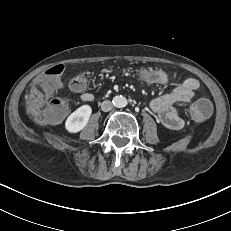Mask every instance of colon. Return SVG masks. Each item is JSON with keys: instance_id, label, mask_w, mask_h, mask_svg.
<instances>
[{"instance_id": "5ec220e1", "label": "colon", "mask_w": 231, "mask_h": 231, "mask_svg": "<svg viewBox=\"0 0 231 231\" xmlns=\"http://www.w3.org/2000/svg\"><path fill=\"white\" fill-rule=\"evenodd\" d=\"M64 71V65L58 64L50 67L45 74L39 75L34 81V89L28 98L30 113L39 122L55 123L62 120L68 112V102L64 98H55L42 112L40 106L43 94H50L61 86L60 76ZM139 78L150 85H163L168 80V75L163 70L151 66H144L139 71ZM88 86L86 73H78L71 81L70 87L73 91H83ZM213 104L205 97H200L191 107V114L197 120H205L210 115Z\"/></svg>"}]
</instances>
